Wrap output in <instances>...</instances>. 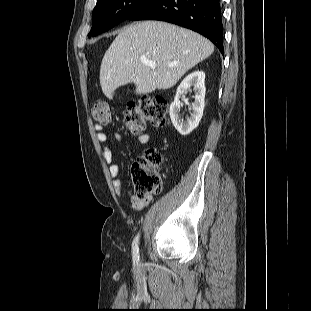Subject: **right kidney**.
I'll return each instance as SVG.
<instances>
[{
	"label": "right kidney",
	"mask_w": 311,
	"mask_h": 311,
	"mask_svg": "<svg viewBox=\"0 0 311 311\" xmlns=\"http://www.w3.org/2000/svg\"><path fill=\"white\" fill-rule=\"evenodd\" d=\"M205 73L203 71H194L189 74L177 88L176 96L170 106V118L175 129L181 135L190 134L198 125L203 116V110L205 106ZM193 86L195 92L192 103V113L190 117L183 121L180 116V98Z\"/></svg>",
	"instance_id": "1"
}]
</instances>
